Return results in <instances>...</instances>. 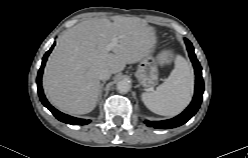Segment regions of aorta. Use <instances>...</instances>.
<instances>
[{
	"label": "aorta",
	"instance_id": "aorta-1",
	"mask_svg": "<svg viewBox=\"0 0 248 158\" xmlns=\"http://www.w3.org/2000/svg\"><path fill=\"white\" fill-rule=\"evenodd\" d=\"M131 88V85L128 81L126 80H121L117 83V90L122 93L125 94L127 93Z\"/></svg>",
	"mask_w": 248,
	"mask_h": 158
}]
</instances>
